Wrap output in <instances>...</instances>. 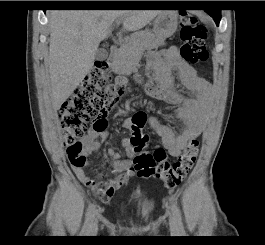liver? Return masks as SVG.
Returning <instances> with one entry per match:
<instances>
[{
    "mask_svg": "<svg viewBox=\"0 0 265 245\" xmlns=\"http://www.w3.org/2000/svg\"><path fill=\"white\" fill-rule=\"evenodd\" d=\"M162 13L161 10L51 11L48 63L54 109H60L89 73L99 44L108 37L115 20H123L124 30L137 31Z\"/></svg>",
    "mask_w": 265,
    "mask_h": 245,
    "instance_id": "1",
    "label": "liver"
}]
</instances>
